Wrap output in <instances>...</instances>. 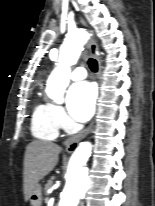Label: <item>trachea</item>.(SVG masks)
<instances>
[{
    "label": "trachea",
    "mask_w": 155,
    "mask_h": 206,
    "mask_svg": "<svg viewBox=\"0 0 155 206\" xmlns=\"http://www.w3.org/2000/svg\"><path fill=\"white\" fill-rule=\"evenodd\" d=\"M88 65L90 67V69L93 71V72H97L98 70V64H97V61L93 58H90L88 60Z\"/></svg>",
    "instance_id": "3493384b"
}]
</instances>
